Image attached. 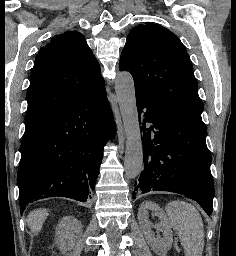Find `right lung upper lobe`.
<instances>
[{
    "mask_svg": "<svg viewBox=\"0 0 236 256\" xmlns=\"http://www.w3.org/2000/svg\"><path fill=\"white\" fill-rule=\"evenodd\" d=\"M105 86L84 37L67 31L39 50L27 92L25 123H40Z\"/></svg>",
    "mask_w": 236,
    "mask_h": 256,
    "instance_id": "cb5924a9",
    "label": "right lung upper lobe"
}]
</instances>
